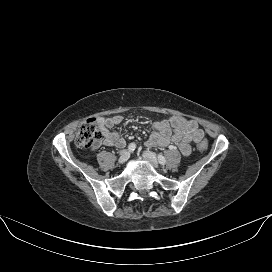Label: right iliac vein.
I'll list each match as a JSON object with an SVG mask.
<instances>
[{
	"instance_id": "1",
	"label": "right iliac vein",
	"mask_w": 272,
	"mask_h": 272,
	"mask_svg": "<svg viewBox=\"0 0 272 272\" xmlns=\"http://www.w3.org/2000/svg\"><path fill=\"white\" fill-rule=\"evenodd\" d=\"M130 157V152L127 150H123L120 153V157L118 159L119 164H124Z\"/></svg>"
}]
</instances>
